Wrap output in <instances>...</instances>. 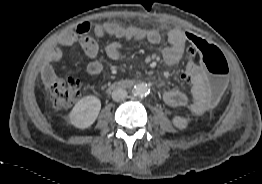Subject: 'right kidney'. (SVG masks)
Returning <instances> with one entry per match:
<instances>
[{"label":"right kidney","instance_id":"1","mask_svg":"<svg viewBox=\"0 0 262 184\" xmlns=\"http://www.w3.org/2000/svg\"><path fill=\"white\" fill-rule=\"evenodd\" d=\"M101 109V102L95 96H86L79 100L70 112L71 123L80 129L90 127Z\"/></svg>","mask_w":262,"mask_h":184}]
</instances>
